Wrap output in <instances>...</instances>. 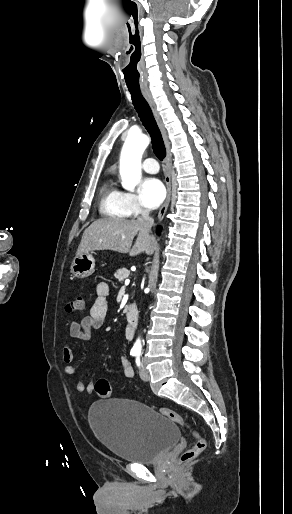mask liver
<instances>
[{"label": "liver", "instance_id": "liver-1", "mask_svg": "<svg viewBox=\"0 0 292 514\" xmlns=\"http://www.w3.org/2000/svg\"><path fill=\"white\" fill-rule=\"evenodd\" d=\"M139 232V234H138ZM138 234L133 246L132 240ZM131 248V250H130ZM155 248V238L147 234L142 220H124V218H102L93 222L85 230L76 256L89 254L93 250H114L120 254L138 256L152 254Z\"/></svg>", "mask_w": 292, "mask_h": 514}]
</instances>
